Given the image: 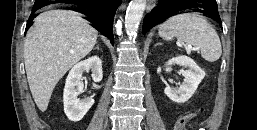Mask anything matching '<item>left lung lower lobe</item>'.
<instances>
[{
	"instance_id": "obj_1",
	"label": "left lung lower lobe",
	"mask_w": 257,
	"mask_h": 130,
	"mask_svg": "<svg viewBox=\"0 0 257 130\" xmlns=\"http://www.w3.org/2000/svg\"><path fill=\"white\" fill-rule=\"evenodd\" d=\"M186 9L201 12L222 26L216 0H160L158 5L145 16L143 34L153 26Z\"/></svg>"
}]
</instances>
